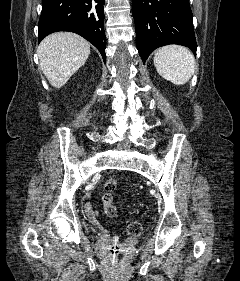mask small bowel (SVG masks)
Listing matches in <instances>:
<instances>
[{"label":"small bowel","instance_id":"small-bowel-1","mask_svg":"<svg viewBox=\"0 0 240 281\" xmlns=\"http://www.w3.org/2000/svg\"><path fill=\"white\" fill-rule=\"evenodd\" d=\"M86 211H87V214H88L91 218H94V216H95V211H94L90 206H87V207H86Z\"/></svg>","mask_w":240,"mask_h":281}]
</instances>
